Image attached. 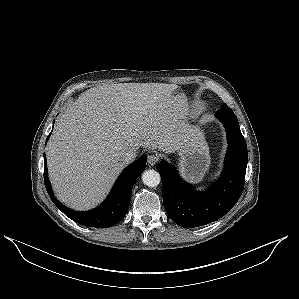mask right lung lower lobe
Masks as SVG:
<instances>
[{
    "instance_id": "right-lung-lower-lobe-1",
    "label": "right lung lower lobe",
    "mask_w": 299,
    "mask_h": 299,
    "mask_svg": "<svg viewBox=\"0 0 299 299\" xmlns=\"http://www.w3.org/2000/svg\"><path fill=\"white\" fill-rule=\"evenodd\" d=\"M51 134V133H50ZM49 134V136H50ZM47 137V140L49 138ZM46 140V141H47ZM146 166V155L130 164L118 177L108 198L96 209L87 212L73 211L62 205L55 197L48 179L47 162L44 154V183L54 204L70 219L94 228H107L120 222L127 213L130 205L134 182Z\"/></svg>"
}]
</instances>
